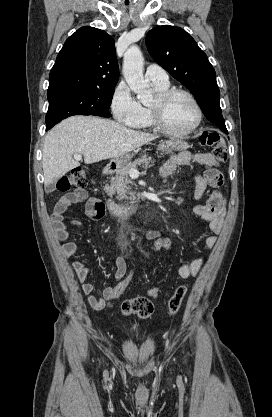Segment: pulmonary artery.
<instances>
[{"label":"pulmonary artery","mask_w":272,"mask_h":417,"mask_svg":"<svg viewBox=\"0 0 272 417\" xmlns=\"http://www.w3.org/2000/svg\"><path fill=\"white\" fill-rule=\"evenodd\" d=\"M145 76L152 84L161 86L169 84V77L167 72L159 65H149L146 68Z\"/></svg>","instance_id":"obj_1"}]
</instances>
